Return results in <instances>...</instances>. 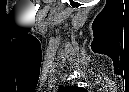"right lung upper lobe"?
Listing matches in <instances>:
<instances>
[{
  "mask_svg": "<svg viewBox=\"0 0 129 92\" xmlns=\"http://www.w3.org/2000/svg\"><path fill=\"white\" fill-rule=\"evenodd\" d=\"M79 91V88L77 86H61L58 90V92H75Z\"/></svg>",
  "mask_w": 129,
  "mask_h": 92,
  "instance_id": "obj_1",
  "label": "right lung upper lobe"
}]
</instances>
